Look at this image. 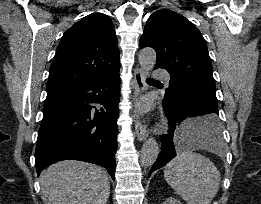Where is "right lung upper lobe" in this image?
Segmentation results:
<instances>
[{"instance_id":"obj_1","label":"right lung upper lobe","mask_w":261,"mask_h":204,"mask_svg":"<svg viewBox=\"0 0 261 204\" xmlns=\"http://www.w3.org/2000/svg\"><path fill=\"white\" fill-rule=\"evenodd\" d=\"M120 67L117 38L111 19L92 13L61 38L50 66L46 90L99 78Z\"/></svg>"}]
</instances>
